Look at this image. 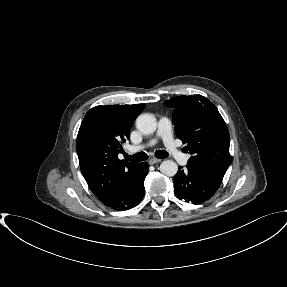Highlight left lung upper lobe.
Returning <instances> with one entry per match:
<instances>
[{
    "mask_svg": "<svg viewBox=\"0 0 287 287\" xmlns=\"http://www.w3.org/2000/svg\"><path fill=\"white\" fill-rule=\"evenodd\" d=\"M164 104L174 108L177 136L191 154L188 165L224 175L233 158L229 132L216 106L201 95L178 96Z\"/></svg>",
    "mask_w": 287,
    "mask_h": 287,
    "instance_id": "5c2ea615",
    "label": "left lung upper lobe"
}]
</instances>
